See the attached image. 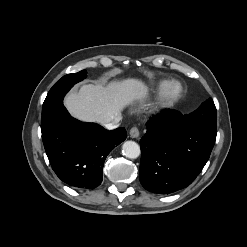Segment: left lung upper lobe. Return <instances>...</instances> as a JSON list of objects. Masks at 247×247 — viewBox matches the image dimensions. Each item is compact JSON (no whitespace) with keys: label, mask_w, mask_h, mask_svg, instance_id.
I'll list each match as a JSON object with an SVG mask.
<instances>
[{"label":"left lung upper lobe","mask_w":247,"mask_h":247,"mask_svg":"<svg viewBox=\"0 0 247 247\" xmlns=\"http://www.w3.org/2000/svg\"><path fill=\"white\" fill-rule=\"evenodd\" d=\"M186 120L194 125L217 130V113L214 102L211 98L202 103V105L186 115Z\"/></svg>","instance_id":"1"}]
</instances>
